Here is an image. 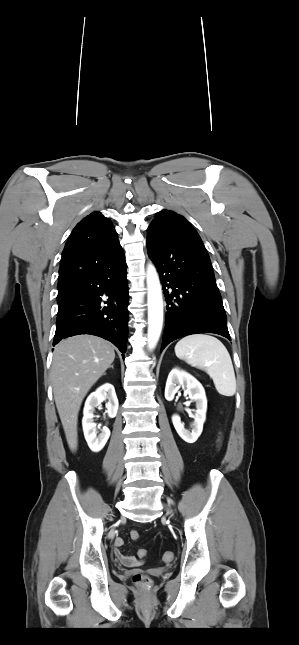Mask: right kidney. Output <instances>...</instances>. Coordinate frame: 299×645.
I'll return each instance as SVG.
<instances>
[{"label": "right kidney", "instance_id": "right-kidney-1", "mask_svg": "<svg viewBox=\"0 0 299 645\" xmlns=\"http://www.w3.org/2000/svg\"><path fill=\"white\" fill-rule=\"evenodd\" d=\"M105 400H108L106 412L110 418H114L117 415L119 403L113 385L108 383L100 386L88 396L83 410V432L88 446L93 452L102 450L110 436V430L106 426L97 435L96 423L93 420L95 408Z\"/></svg>", "mask_w": 299, "mask_h": 645}]
</instances>
